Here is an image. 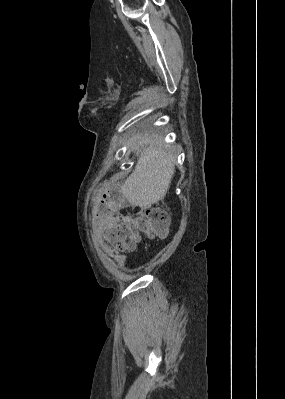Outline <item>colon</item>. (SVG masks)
Here are the masks:
<instances>
[{
	"label": "colon",
	"instance_id": "5ec220e1",
	"mask_svg": "<svg viewBox=\"0 0 285 399\" xmlns=\"http://www.w3.org/2000/svg\"><path fill=\"white\" fill-rule=\"evenodd\" d=\"M93 208L102 237L111 240L120 252L134 250L142 235L166 236L169 232L168 216L159 207L143 208L130 214L117 213L119 194L115 189L100 193Z\"/></svg>",
	"mask_w": 285,
	"mask_h": 399
}]
</instances>
